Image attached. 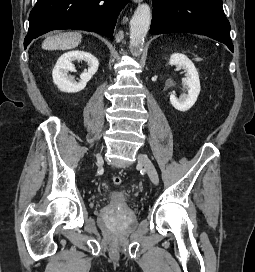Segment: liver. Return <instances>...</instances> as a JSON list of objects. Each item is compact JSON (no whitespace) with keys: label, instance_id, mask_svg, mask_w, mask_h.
<instances>
[{"label":"liver","instance_id":"1","mask_svg":"<svg viewBox=\"0 0 255 272\" xmlns=\"http://www.w3.org/2000/svg\"><path fill=\"white\" fill-rule=\"evenodd\" d=\"M82 35L78 32L59 33L47 37L42 48L46 50H67L72 49L81 43Z\"/></svg>","mask_w":255,"mask_h":272}]
</instances>
